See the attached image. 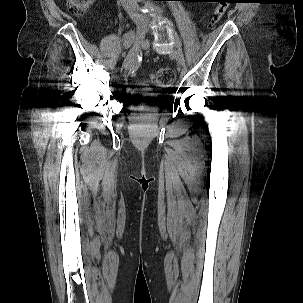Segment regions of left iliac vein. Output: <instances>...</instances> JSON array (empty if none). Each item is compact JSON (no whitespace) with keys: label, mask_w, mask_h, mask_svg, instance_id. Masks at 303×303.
<instances>
[{"label":"left iliac vein","mask_w":303,"mask_h":303,"mask_svg":"<svg viewBox=\"0 0 303 303\" xmlns=\"http://www.w3.org/2000/svg\"><path fill=\"white\" fill-rule=\"evenodd\" d=\"M167 30L169 31L170 37L175 42V48L173 49L171 56L173 58H175L182 67H184L185 62H184V57H183L182 48H181V46H182L181 40H180L179 36L177 35V33L175 31L171 30L170 27H168Z\"/></svg>","instance_id":"obj_1"}]
</instances>
